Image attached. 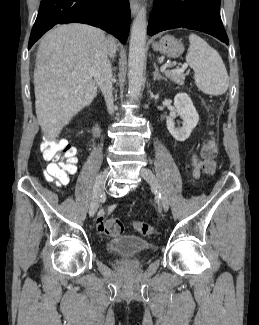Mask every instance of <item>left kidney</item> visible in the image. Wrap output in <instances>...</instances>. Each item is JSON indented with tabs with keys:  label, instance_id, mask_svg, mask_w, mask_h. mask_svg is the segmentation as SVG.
Returning a JSON list of instances; mask_svg holds the SVG:
<instances>
[{
	"label": "left kidney",
	"instance_id": "1",
	"mask_svg": "<svg viewBox=\"0 0 259 325\" xmlns=\"http://www.w3.org/2000/svg\"><path fill=\"white\" fill-rule=\"evenodd\" d=\"M175 110L170 112L167 117L166 124L169 133L177 141H185L189 138L191 132L196 127L199 121V115L186 93H178L174 98ZM178 114L182 118V127L176 128L174 118Z\"/></svg>",
	"mask_w": 259,
	"mask_h": 325
}]
</instances>
